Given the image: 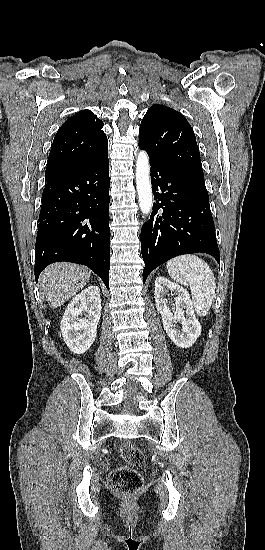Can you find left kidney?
I'll return each mask as SVG.
<instances>
[{"mask_svg": "<svg viewBox=\"0 0 265 550\" xmlns=\"http://www.w3.org/2000/svg\"><path fill=\"white\" fill-rule=\"evenodd\" d=\"M169 291L176 295L174 313H171L165 298V293ZM155 304L171 341L180 348L191 347L201 333V325L194 314L188 291L164 277H158L155 280ZM176 323L182 325L181 330L176 329Z\"/></svg>", "mask_w": 265, "mask_h": 550, "instance_id": "5707ae66", "label": "left kidney"}]
</instances>
